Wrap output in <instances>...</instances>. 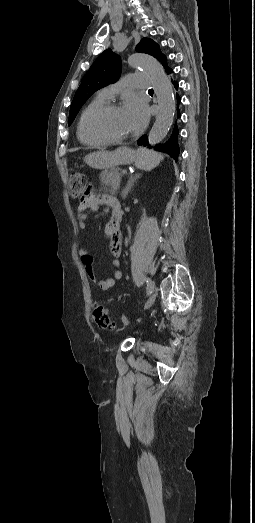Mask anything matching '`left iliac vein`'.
<instances>
[{
  "instance_id": "1",
  "label": "left iliac vein",
  "mask_w": 255,
  "mask_h": 523,
  "mask_svg": "<svg viewBox=\"0 0 255 523\" xmlns=\"http://www.w3.org/2000/svg\"><path fill=\"white\" fill-rule=\"evenodd\" d=\"M146 281H147V284L149 287H155L154 282L151 279L147 278ZM155 299H156V294L155 293L150 294L147 301L145 302L144 309H149L154 304Z\"/></svg>"
}]
</instances>
